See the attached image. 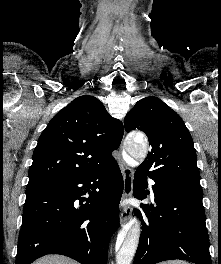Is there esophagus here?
<instances>
[{
  "instance_id": "obj_1",
  "label": "esophagus",
  "mask_w": 221,
  "mask_h": 264,
  "mask_svg": "<svg viewBox=\"0 0 221 264\" xmlns=\"http://www.w3.org/2000/svg\"><path fill=\"white\" fill-rule=\"evenodd\" d=\"M122 150V146H121ZM120 150V158H119V166L123 175V197L129 198L132 195L133 189V171L132 169L126 165L121 157ZM132 214V207L129 204L124 205L121 213H120V223L126 222Z\"/></svg>"
}]
</instances>
